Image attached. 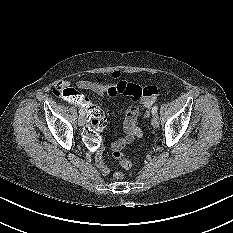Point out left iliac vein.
<instances>
[{
    "instance_id": "4c4485c4",
    "label": "left iliac vein",
    "mask_w": 233,
    "mask_h": 233,
    "mask_svg": "<svg viewBox=\"0 0 233 233\" xmlns=\"http://www.w3.org/2000/svg\"><path fill=\"white\" fill-rule=\"evenodd\" d=\"M151 124L154 128L159 127V118L156 114H153L152 119H151Z\"/></svg>"
}]
</instances>
